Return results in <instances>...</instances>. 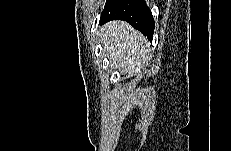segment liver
Wrapping results in <instances>:
<instances>
[{
  "instance_id": "obj_1",
  "label": "liver",
  "mask_w": 231,
  "mask_h": 151,
  "mask_svg": "<svg viewBox=\"0 0 231 151\" xmlns=\"http://www.w3.org/2000/svg\"><path fill=\"white\" fill-rule=\"evenodd\" d=\"M100 41L107 57L121 73L132 75L148 64L149 49L145 37L124 21H112L102 26Z\"/></svg>"
}]
</instances>
